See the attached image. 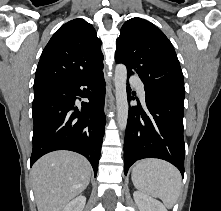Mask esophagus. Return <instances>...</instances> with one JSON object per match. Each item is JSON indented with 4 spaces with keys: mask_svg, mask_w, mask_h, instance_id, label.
<instances>
[{
    "mask_svg": "<svg viewBox=\"0 0 221 211\" xmlns=\"http://www.w3.org/2000/svg\"><path fill=\"white\" fill-rule=\"evenodd\" d=\"M107 108V104L105 105V109Z\"/></svg>",
    "mask_w": 221,
    "mask_h": 211,
    "instance_id": "1",
    "label": "esophagus"
}]
</instances>
